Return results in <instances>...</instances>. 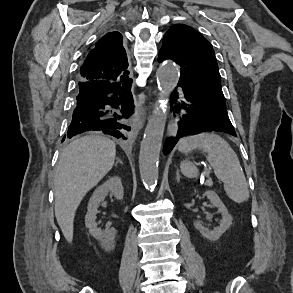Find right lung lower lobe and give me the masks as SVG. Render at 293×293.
Returning a JSON list of instances; mask_svg holds the SVG:
<instances>
[{
    "label": "right lung lower lobe",
    "instance_id": "obj_1",
    "mask_svg": "<svg viewBox=\"0 0 293 293\" xmlns=\"http://www.w3.org/2000/svg\"><path fill=\"white\" fill-rule=\"evenodd\" d=\"M132 80L79 83L72 121L65 138L86 131H101L126 139L129 127L121 119L133 113Z\"/></svg>",
    "mask_w": 293,
    "mask_h": 293
}]
</instances>
